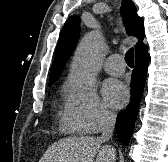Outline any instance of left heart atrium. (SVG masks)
<instances>
[{
  "mask_svg": "<svg viewBox=\"0 0 168 162\" xmlns=\"http://www.w3.org/2000/svg\"><path fill=\"white\" fill-rule=\"evenodd\" d=\"M103 94L106 102L115 109L123 107L128 100L127 88L116 80H108L104 83Z\"/></svg>",
  "mask_w": 168,
  "mask_h": 162,
  "instance_id": "39dd6f15",
  "label": "left heart atrium"
}]
</instances>
